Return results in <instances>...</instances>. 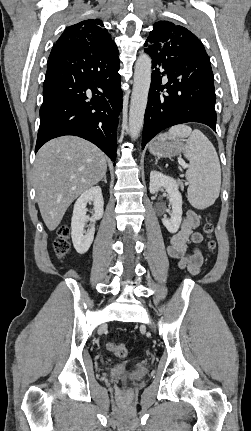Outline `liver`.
<instances>
[{
	"instance_id": "obj_1",
	"label": "liver",
	"mask_w": 251,
	"mask_h": 431,
	"mask_svg": "<svg viewBox=\"0 0 251 431\" xmlns=\"http://www.w3.org/2000/svg\"><path fill=\"white\" fill-rule=\"evenodd\" d=\"M107 158L94 144L79 137L63 136L38 151L34 184L41 216L53 231L71 203L105 176Z\"/></svg>"
}]
</instances>
